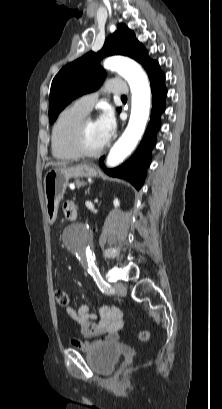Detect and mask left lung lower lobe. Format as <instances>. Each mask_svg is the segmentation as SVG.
<instances>
[{"label":"left lung lower lobe","mask_w":222,"mask_h":409,"mask_svg":"<svg viewBox=\"0 0 222 409\" xmlns=\"http://www.w3.org/2000/svg\"><path fill=\"white\" fill-rule=\"evenodd\" d=\"M164 80L165 76L162 71L150 77L153 104L151 120L143 140L134 155L122 166L114 169L105 168L103 165L104 157L100 159V166L108 175L126 179L138 190L143 185L146 169L150 165L151 149L155 145L156 133L160 126V114L165 109L164 100L167 91L165 89Z\"/></svg>","instance_id":"obj_1"}]
</instances>
